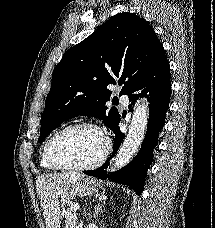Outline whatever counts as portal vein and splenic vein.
Masks as SVG:
<instances>
[{
	"label": "portal vein and splenic vein",
	"mask_w": 215,
	"mask_h": 228,
	"mask_svg": "<svg viewBox=\"0 0 215 228\" xmlns=\"http://www.w3.org/2000/svg\"><path fill=\"white\" fill-rule=\"evenodd\" d=\"M73 210H79L80 206L79 204H74V206H72Z\"/></svg>",
	"instance_id": "portal-vein-and-splenic-vein-1"
}]
</instances>
